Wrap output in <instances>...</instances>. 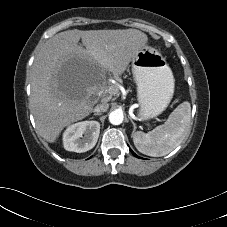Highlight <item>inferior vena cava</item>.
Masks as SVG:
<instances>
[{"instance_id":"obj_1","label":"inferior vena cava","mask_w":227,"mask_h":227,"mask_svg":"<svg viewBox=\"0 0 227 227\" xmlns=\"http://www.w3.org/2000/svg\"><path fill=\"white\" fill-rule=\"evenodd\" d=\"M107 100L104 99L102 104L96 105L94 107V112L96 113H101V112H106L107 109L109 108V104L106 102Z\"/></svg>"}]
</instances>
